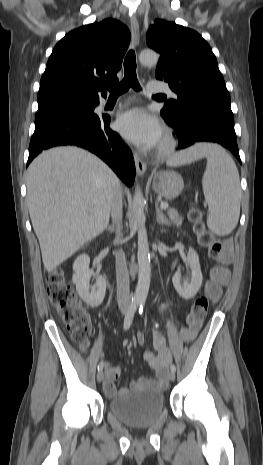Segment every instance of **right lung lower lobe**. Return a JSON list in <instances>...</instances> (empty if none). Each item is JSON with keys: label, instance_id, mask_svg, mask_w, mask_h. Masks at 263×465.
Returning <instances> with one entry per match:
<instances>
[{"label": "right lung lower lobe", "instance_id": "obj_1", "mask_svg": "<svg viewBox=\"0 0 263 465\" xmlns=\"http://www.w3.org/2000/svg\"><path fill=\"white\" fill-rule=\"evenodd\" d=\"M99 104L96 103L95 107ZM110 117L94 112L54 111L35 118L29 145L28 164L42 150L60 145H76L103 159L127 186L135 179V163L130 149L109 128Z\"/></svg>", "mask_w": 263, "mask_h": 465}]
</instances>
